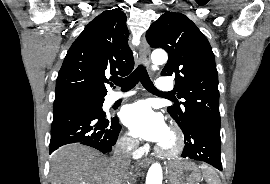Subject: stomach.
Masks as SVG:
<instances>
[{
	"label": "stomach",
	"mask_w": 270,
	"mask_h": 184,
	"mask_svg": "<svg viewBox=\"0 0 270 184\" xmlns=\"http://www.w3.org/2000/svg\"><path fill=\"white\" fill-rule=\"evenodd\" d=\"M167 178L171 184H199L202 176L194 163L174 161L168 165Z\"/></svg>",
	"instance_id": "stomach-1"
}]
</instances>
